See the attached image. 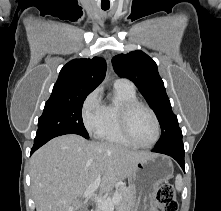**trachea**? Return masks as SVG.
Segmentation results:
<instances>
[{
    "mask_svg": "<svg viewBox=\"0 0 221 211\" xmlns=\"http://www.w3.org/2000/svg\"><path fill=\"white\" fill-rule=\"evenodd\" d=\"M104 11L108 10V8H102Z\"/></svg>",
    "mask_w": 221,
    "mask_h": 211,
    "instance_id": "1",
    "label": "trachea"
}]
</instances>
